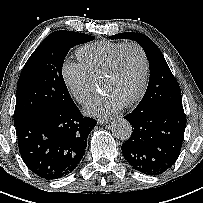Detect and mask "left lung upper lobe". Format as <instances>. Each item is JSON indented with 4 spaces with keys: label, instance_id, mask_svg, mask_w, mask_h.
I'll return each mask as SVG.
<instances>
[{
    "label": "left lung upper lobe",
    "instance_id": "obj_1",
    "mask_svg": "<svg viewBox=\"0 0 203 203\" xmlns=\"http://www.w3.org/2000/svg\"><path fill=\"white\" fill-rule=\"evenodd\" d=\"M109 38L135 40L147 55L150 67L149 84L137 109L151 110L168 106H182L179 84L162 52L149 37L141 33L127 32Z\"/></svg>",
    "mask_w": 203,
    "mask_h": 203
}]
</instances>
